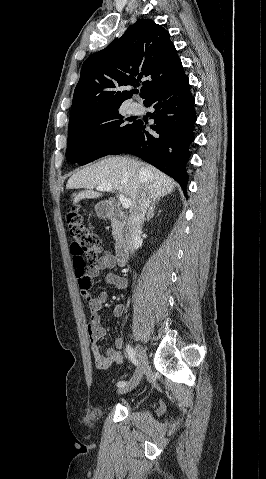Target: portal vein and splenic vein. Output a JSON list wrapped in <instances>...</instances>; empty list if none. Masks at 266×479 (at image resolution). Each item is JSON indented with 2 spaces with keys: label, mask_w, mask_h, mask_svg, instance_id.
I'll return each instance as SVG.
<instances>
[{
  "label": "portal vein and splenic vein",
  "mask_w": 266,
  "mask_h": 479,
  "mask_svg": "<svg viewBox=\"0 0 266 479\" xmlns=\"http://www.w3.org/2000/svg\"><path fill=\"white\" fill-rule=\"evenodd\" d=\"M96 190L109 192V191H113V188L111 185L102 184L100 186H97ZM119 200L124 209L130 208V206L132 205V200L130 198H126L123 194L119 195Z\"/></svg>",
  "instance_id": "portal-vein-and-splenic-vein-1"
}]
</instances>
